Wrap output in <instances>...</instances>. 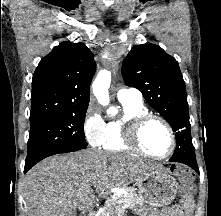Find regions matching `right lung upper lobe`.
I'll return each instance as SVG.
<instances>
[{
    "label": "right lung upper lobe",
    "instance_id": "right-lung-upper-lobe-1",
    "mask_svg": "<svg viewBox=\"0 0 221 216\" xmlns=\"http://www.w3.org/2000/svg\"><path fill=\"white\" fill-rule=\"evenodd\" d=\"M95 70L94 57L83 43L55 47L34 73L30 120L88 107Z\"/></svg>",
    "mask_w": 221,
    "mask_h": 216
}]
</instances>
